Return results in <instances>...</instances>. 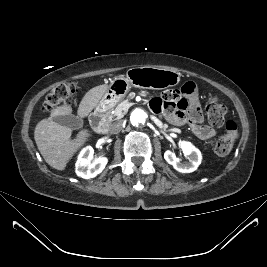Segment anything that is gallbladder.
Instances as JSON below:
<instances>
[{
  "instance_id": "obj_1",
  "label": "gallbladder",
  "mask_w": 267,
  "mask_h": 267,
  "mask_svg": "<svg viewBox=\"0 0 267 267\" xmlns=\"http://www.w3.org/2000/svg\"><path fill=\"white\" fill-rule=\"evenodd\" d=\"M57 124L71 128V129H80L83 127L84 121L79 116L73 114L57 116L53 119Z\"/></svg>"
}]
</instances>
